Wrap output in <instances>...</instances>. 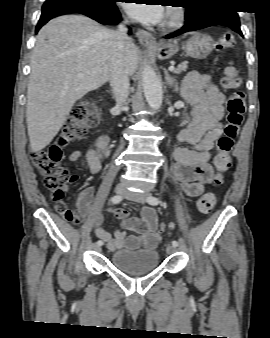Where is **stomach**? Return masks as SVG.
Wrapping results in <instances>:
<instances>
[{
  "label": "stomach",
  "instance_id": "obj_1",
  "mask_svg": "<svg viewBox=\"0 0 270 338\" xmlns=\"http://www.w3.org/2000/svg\"><path fill=\"white\" fill-rule=\"evenodd\" d=\"M213 48V41L211 37L200 33H193L184 43H182V49L185 54L195 59L206 58ZM179 51V41H171L162 43L155 53L157 56L164 60L174 56Z\"/></svg>",
  "mask_w": 270,
  "mask_h": 338
}]
</instances>
